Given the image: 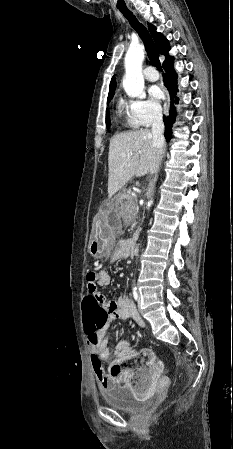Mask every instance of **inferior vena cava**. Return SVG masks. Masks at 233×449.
I'll return each instance as SVG.
<instances>
[{
	"instance_id": "inferior-vena-cava-1",
	"label": "inferior vena cava",
	"mask_w": 233,
	"mask_h": 449,
	"mask_svg": "<svg viewBox=\"0 0 233 449\" xmlns=\"http://www.w3.org/2000/svg\"><path fill=\"white\" fill-rule=\"evenodd\" d=\"M163 131H164V123L162 118V112L158 110L155 112L153 117L151 134L153 146L159 152H162L165 143Z\"/></svg>"
}]
</instances>
